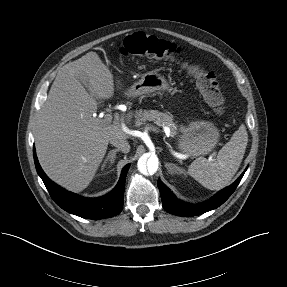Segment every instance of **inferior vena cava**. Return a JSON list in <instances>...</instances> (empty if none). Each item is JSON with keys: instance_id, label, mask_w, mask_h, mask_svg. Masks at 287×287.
<instances>
[{"instance_id": "1", "label": "inferior vena cava", "mask_w": 287, "mask_h": 287, "mask_svg": "<svg viewBox=\"0 0 287 287\" xmlns=\"http://www.w3.org/2000/svg\"><path fill=\"white\" fill-rule=\"evenodd\" d=\"M109 142L124 153H128L130 151V145L126 139L113 136L110 138Z\"/></svg>"}]
</instances>
